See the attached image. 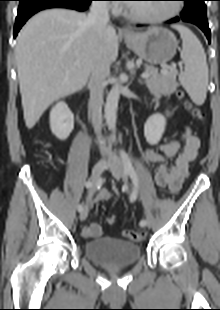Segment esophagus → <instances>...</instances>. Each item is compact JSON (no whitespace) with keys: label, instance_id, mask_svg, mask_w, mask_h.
<instances>
[{"label":"esophagus","instance_id":"34e87169","mask_svg":"<svg viewBox=\"0 0 220 310\" xmlns=\"http://www.w3.org/2000/svg\"><path fill=\"white\" fill-rule=\"evenodd\" d=\"M120 33L123 35H131L133 32L129 28L123 27L120 29Z\"/></svg>","mask_w":220,"mask_h":310}]
</instances>
